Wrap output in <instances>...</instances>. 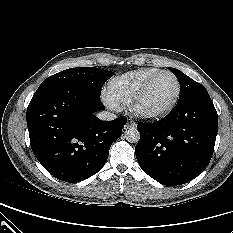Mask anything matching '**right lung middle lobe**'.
I'll list each match as a JSON object with an SVG mask.
<instances>
[{
    "mask_svg": "<svg viewBox=\"0 0 233 233\" xmlns=\"http://www.w3.org/2000/svg\"><path fill=\"white\" fill-rule=\"evenodd\" d=\"M114 75L113 72L95 67H78L61 71L46 78L38 87L34 96L63 84L73 85L100 96L105 82Z\"/></svg>",
    "mask_w": 233,
    "mask_h": 233,
    "instance_id": "obj_1",
    "label": "right lung middle lobe"
}]
</instances>
